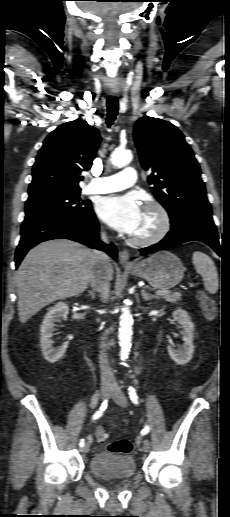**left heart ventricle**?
<instances>
[{"instance_id": "b2bd125f", "label": "left heart ventricle", "mask_w": 230, "mask_h": 517, "mask_svg": "<svg viewBox=\"0 0 230 517\" xmlns=\"http://www.w3.org/2000/svg\"><path fill=\"white\" fill-rule=\"evenodd\" d=\"M158 226V217L153 210L143 209L139 227L132 234L137 237H144L153 233Z\"/></svg>"}]
</instances>
